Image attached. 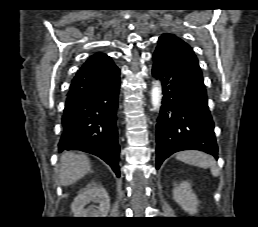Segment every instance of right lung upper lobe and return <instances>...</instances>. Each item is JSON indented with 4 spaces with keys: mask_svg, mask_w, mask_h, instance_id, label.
<instances>
[{
    "mask_svg": "<svg viewBox=\"0 0 258 227\" xmlns=\"http://www.w3.org/2000/svg\"><path fill=\"white\" fill-rule=\"evenodd\" d=\"M94 56H104V54H97V55H94ZM94 56H92V57H94Z\"/></svg>",
    "mask_w": 258,
    "mask_h": 227,
    "instance_id": "obj_1",
    "label": "right lung upper lobe"
}]
</instances>
